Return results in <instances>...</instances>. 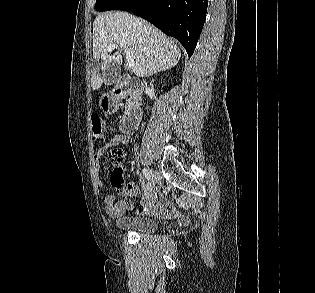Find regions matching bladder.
<instances>
[{
  "instance_id": "31cf9c89",
  "label": "bladder",
  "mask_w": 315,
  "mask_h": 293,
  "mask_svg": "<svg viewBox=\"0 0 315 293\" xmlns=\"http://www.w3.org/2000/svg\"><path fill=\"white\" fill-rule=\"evenodd\" d=\"M115 226L122 231L138 234L152 233L157 229V223L148 217H119L115 220Z\"/></svg>"
}]
</instances>
